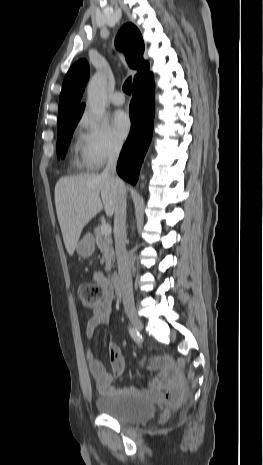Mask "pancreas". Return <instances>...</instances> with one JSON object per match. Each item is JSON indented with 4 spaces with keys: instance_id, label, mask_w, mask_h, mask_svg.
I'll return each mask as SVG.
<instances>
[{
    "instance_id": "pancreas-1",
    "label": "pancreas",
    "mask_w": 263,
    "mask_h": 465,
    "mask_svg": "<svg viewBox=\"0 0 263 465\" xmlns=\"http://www.w3.org/2000/svg\"><path fill=\"white\" fill-rule=\"evenodd\" d=\"M95 241L102 253L101 263H105V270L109 271L114 263V250L111 235H104L101 231V226L94 229Z\"/></svg>"
}]
</instances>
